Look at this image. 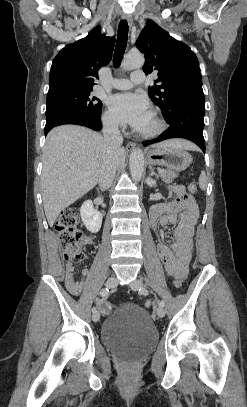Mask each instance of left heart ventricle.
Segmentation results:
<instances>
[{
	"label": "left heart ventricle",
	"mask_w": 247,
	"mask_h": 407,
	"mask_svg": "<svg viewBox=\"0 0 247 407\" xmlns=\"http://www.w3.org/2000/svg\"><path fill=\"white\" fill-rule=\"evenodd\" d=\"M155 127V123L151 115H149L148 119L144 123V125L139 129L141 131H150Z\"/></svg>",
	"instance_id": "obj_1"
}]
</instances>
